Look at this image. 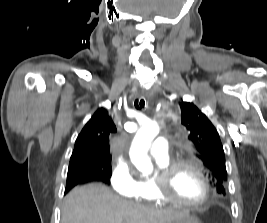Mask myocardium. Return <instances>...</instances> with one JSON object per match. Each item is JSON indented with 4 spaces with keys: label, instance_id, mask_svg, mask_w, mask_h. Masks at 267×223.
Here are the masks:
<instances>
[{
    "label": "myocardium",
    "instance_id": "f54148a6",
    "mask_svg": "<svg viewBox=\"0 0 267 223\" xmlns=\"http://www.w3.org/2000/svg\"><path fill=\"white\" fill-rule=\"evenodd\" d=\"M188 167L193 169L201 178L205 186V194L199 201H186L174 196L170 190V182L179 169ZM154 187L158 197L166 203L176 204L187 208H198L203 206L210 198L211 187L204 170L194 161L177 160L169 162L160 168L157 175L153 178Z\"/></svg>",
    "mask_w": 267,
    "mask_h": 223
}]
</instances>
